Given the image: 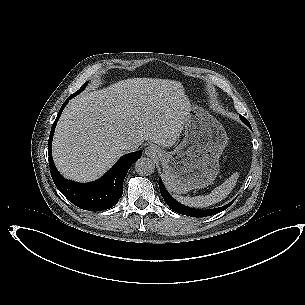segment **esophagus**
I'll return each mask as SVG.
<instances>
[{
  "mask_svg": "<svg viewBox=\"0 0 305 305\" xmlns=\"http://www.w3.org/2000/svg\"><path fill=\"white\" fill-rule=\"evenodd\" d=\"M145 154L148 157H154V156L159 154V150H158V148L156 146L150 145V146L145 148Z\"/></svg>",
  "mask_w": 305,
  "mask_h": 305,
  "instance_id": "esophagus-1",
  "label": "esophagus"
}]
</instances>
